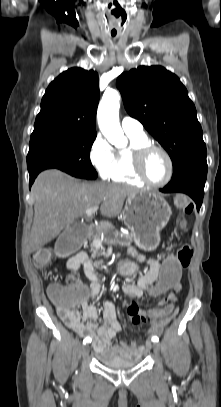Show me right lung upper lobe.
<instances>
[{
    "mask_svg": "<svg viewBox=\"0 0 221 407\" xmlns=\"http://www.w3.org/2000/svg\"><path fill=\"white\" fill-rule=\"evenodd\" d=\"M98 101V74L82 68L68 69L48 86L34 131L66 129L96 134Z\"/></svg>",
    "mask_w": 221,
    "mask_h": 407,
    "instance_id": "right-lung-upper-lobe-1",
    "label": "right lung upper lobe"
}]
</instances>
